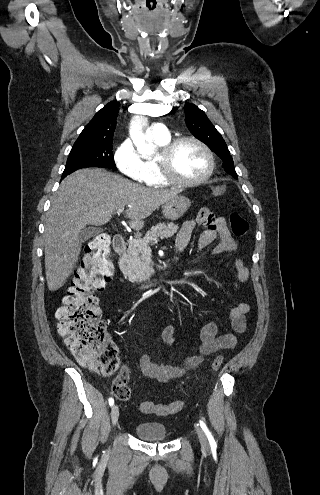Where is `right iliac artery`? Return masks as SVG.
<instances>
[{
  "label": "right iliac artery",
  "mask_w": 320,
  "mask_h": 495,
  "mask_svg": "<svg viewBox=\"0 0 320 495\" xmlns=\"http://www.w3.org/2000/svg\"><path fill=\"white\" fill-rule=\"evenodd\" d=\"M113 404H114V400H113V398H110L109 399V405L112 406Z\"/></svg>",
  "instance_id": "1"
}]
</instances>
